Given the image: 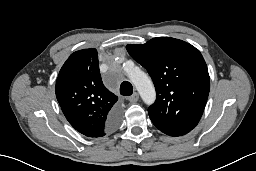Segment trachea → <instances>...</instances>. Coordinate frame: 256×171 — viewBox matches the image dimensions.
Returning <instances> with one entry per match:
<instances>
[{"instance_id": "obj_1", "label": "trachea", "mask_w": 256, "mask_h": 171, "mask_svg": "<svg viewBox=\"0 0 256 171\" xmlns=\"http://www.w3.org/2000/svg\"><path fill=\"white\" fill-rule=\"evenodd\" d=\"M133 93V87L132 84L128 81H124L120 85V94L123 96H130Z\"/></svg>"}]
</instances>
